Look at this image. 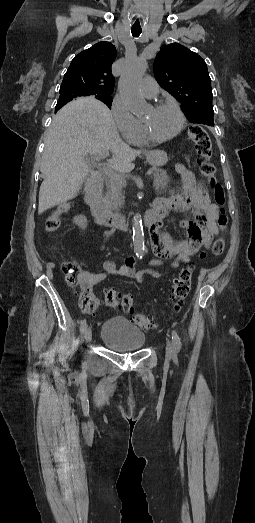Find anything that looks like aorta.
<instances>
[{
  "instance_id": "aorta-1",
  "label": "aorta",
  "mask_w": 255,
  "mask_h": 523,
  "mask_svg": "<svg viewBox=\"0 0 255 523\" xmlns=\"http://www.w3.org/2000/svg\"><path fill=\"white\" fill-rule=\"evenodd\" d=\"M147 69V62L144 59L137 58L128 62L121 75L118 89L127 108L134 114L139 115L146 109V102L143 98L139 83ZM133 245L137 258H142L145 250L144 230L141 215L135 214L132 221Z\"/></svg>"
}]
</instances>
